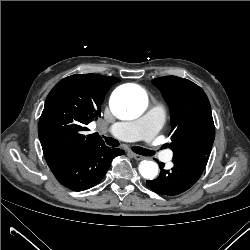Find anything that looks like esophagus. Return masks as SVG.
I'll list each match as a JSON object with an SVG mask.
<instances>
[{
  "instance_id": "1",
  "label": "esophagus",
  "mask_w": 250,
  "mask_h": 250,
  "mask_svg": "<svg viewBox=\"0 0 250 250\" xmlns=\"http://www.w3.org/2000/svg\"><path fill=\"white\" fill-rule=\"evenodd\" d=\"M129 154H130L134 159H136V160H142V159H144V157L141 156V155H139V154H135V153H133V152H130Z\"/></svg>"
}]
</instances>
